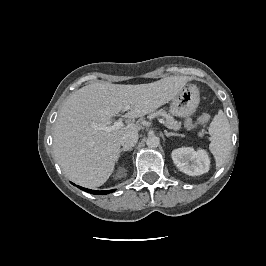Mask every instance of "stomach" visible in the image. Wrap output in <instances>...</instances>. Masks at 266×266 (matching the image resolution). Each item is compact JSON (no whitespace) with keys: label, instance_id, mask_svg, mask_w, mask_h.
Returning a JSON list of instances; mask_svg holds the SVG:
<instances>
[{"label":"stomach","instance_id":"obj_1","mask_svg":"<svg viewBox=\"0 0 266 266\" xmlns=\"http://www.w3.org/2000/svg\"><path fill=\"white\" fill-rule=\"evenodd\" d=\"M200 102V94L196 85L187 84L172 99L170 113L176 117H188L192 115Z\"/></svg>","mask_w":266,"mask_h":266}]
</instances>
